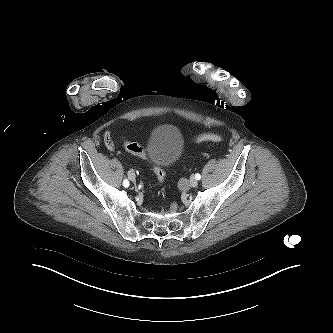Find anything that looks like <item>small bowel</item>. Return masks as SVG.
Returning a JSON list of instances; mask_svg holds the SVG:
<instances>
[{
    "instance_id": "c3829d8e",
    "label": "small bowel",
    "mask_w": 333,
    "mask_h": 333,
    "mask_svg": "<svg viewBox=\"0 0 333 333\" xmlns=\"http://www.w3.org/2000/svg\"><path fill=\"white\" fill-rule=\"evenodd\" d=\"M104 141L109 151H114V144L111 138V131L108 129L104 134Z\"/></svg>"
}]
</instances>
